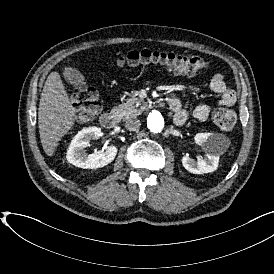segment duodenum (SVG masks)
I'll list each match as a JSON object with an SVG mask.
<instances>
[{
    "label": "duodenum",
    "instance_id": "obj_1",
    "mask_svg": "<svg viewBox=\"0 0 274 274\" xmlns=\"http://www.w3.org/2000/svg\"><path fill=\"white\" fill-rule=\"evenodd\" d=\"M172 104L176 105L177 101L172 100ZM100 123L107 130L115 129L118 124V116L112 112L104 113L100 118Z\"/></svg>",
    "mask_w": 274,
    "mask_h": 274
}]
</instances>
